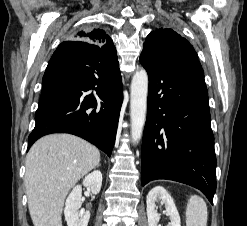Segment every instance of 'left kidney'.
<instances>
[{"label": "left kidney", "mask_w": 247, "mask_h": 226, "mask_svg": "<svg viewBox=\"0 0 247 226\" xmlns=\"http://www.w3.org/2000/svg\"><path fill=\"white\" fill-rule=\"evenodd\" d=\"M161 201L165 204L166 215L170 217V223L168 226H181L180 216L173 201L171 195L161 186H156L151 189L146 199V210L148 217L149 226H160L158 225L160 214L156 210V203Z\"/></svg>", "instance_id": "left-kidney-1"}]
</instances>
